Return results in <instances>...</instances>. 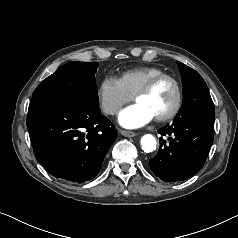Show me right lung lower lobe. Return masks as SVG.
<instances>
[{
    "label": "right lung lower lobe",
    "instance_id": "obj_1",
    "mask_svg": "<svg viewBox=\"0 0 238 238\" xmlns=\"http://www.w3.org/2000/svg\"><path fill=\"white\" fill-rule=\"evenodd\" d=\"M27 128L36 159L54 177L93 179L117 138L99 106L76 98H32Z\"/></svg>",
    "mask_w": 238,
    "mask_h": 238
}]
</instances>
